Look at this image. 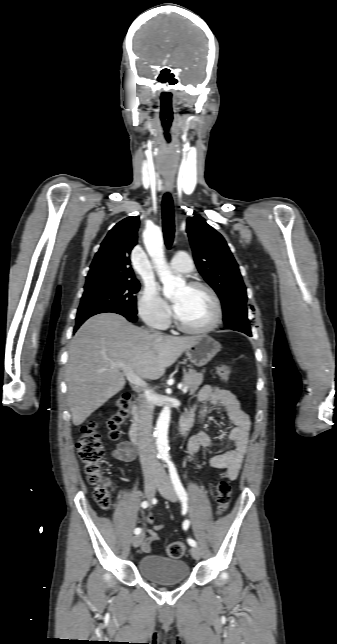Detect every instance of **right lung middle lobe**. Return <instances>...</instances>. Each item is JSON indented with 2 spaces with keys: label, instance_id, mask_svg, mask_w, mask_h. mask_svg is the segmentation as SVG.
<instances>
[{
  "label": "right lung middle lobe",
  "instance_id": "right-lung-middle-lobe-1",
  "mask_svg": "<svg viewBox=\"0 0 337 644\" xmlns=\"http://www.w3.org/2000/svg\"><path fill=\"white\" fill-rule=\"evenodd\" d=\"M137 280H94L86 282L76 320L104 311L123 310L137 313Z\"/></svg>",
  "mask_w": 337,
  "mask_h": 644
}]
</instances>
